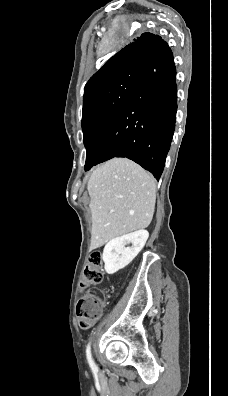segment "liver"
I'll return each instance as SVG.
<instances>
[{
	"mask_svg": "<svg viewBox=\"0 0 228 396\" xmlns=\"http://www.w3.org/2000/svg\"><path fill=\"white\" fill-rule=\"evenodd\" d=\"M87 189L92 216V249L151 223L156 183L132 160L113 158L97 167Z\"/></svg>",
	"mask_w": 228,
	"mask_h": 396,
	"instance_id": "6515ba94",
	"label": "liver"
}]
</instances>
